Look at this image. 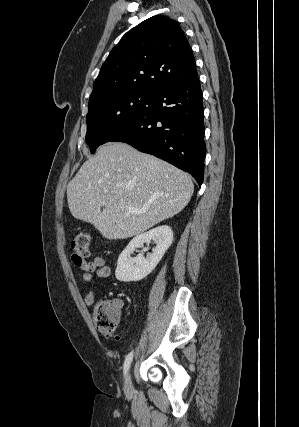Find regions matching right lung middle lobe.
Instances as JSON below:
<instances>
[{
  "mask_svg": "<svg viewBox=\"0 0 299 427\" xmlns=\"http://www.w3.org/2000/svg\"><path fill=\"white\" fill-rule=\"evenodd\" d=\"M153 94L123 92L89 105L86 142L95 149L133 125L147 110Z\"/></svg>",
  "mask_w": 299,
  "mask_h": 427,
  "instance_id": "right-lung-middle-lobe-1",
  "label": "right lung middle lobe"
}]
</instances>
